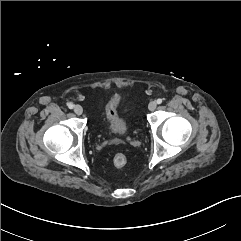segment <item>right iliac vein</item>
Returning a JSON list of instances; mask_svg holds the SVG:
<instances>
[{"mask_svg": "<svg viewBox=\"0 0 241 241\" xmlns=\"http://www.w3.org/2000/svg\"><path fill=\"white\" fill-rule=\"evenodd\" d=\"M74 112L77 114V115H81L83 113V108L81 105H75L74 107Z\"/></svg>", "mask_w": 241, "mask_h": 241, "instance_id": "obj_1", "label": "right iliac vein"}]
</instances>
